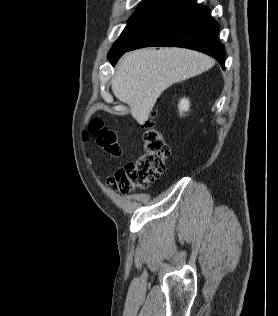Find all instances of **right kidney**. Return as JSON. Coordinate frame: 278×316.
<instances>
[{
	"label": "right kidney",
	"instance_id": "1",
	"mask_svg": "<svg viewBox=\"0 0 278 316\" xmlns=\"http://www.w3.org/2000/svg\"><path fill=\"white\" fill-rule=\"evenodd\" d=\"M189 106H190V102H189L188 99H186V98L181 99L180 103L178 105L180 114H182L185 111H188L189 110Z\"/></svg>",
	"mask_w": 278,
	"mask_h": 316
}]
</instances>
